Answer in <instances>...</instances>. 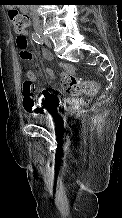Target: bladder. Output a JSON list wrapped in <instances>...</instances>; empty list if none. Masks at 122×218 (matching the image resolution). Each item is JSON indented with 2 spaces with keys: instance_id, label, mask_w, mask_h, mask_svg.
<instances>
[{
  "instance_id": "obj_1",
  "label": "bladder",
  "mask_w": 122,
  "mask_h": 218,
  "mask_svg": "<svg viewBox=\"0 0 122 218\" xmlns=\"http://www.w3.org/2000/svg\"><path fill=\"white\" fill-rule=\"evenodd\" d=\"M44 119L45 115L43 114H32L31 116H29V121L32 123L41 124Z\"/></svg>"
}]
</instances>
